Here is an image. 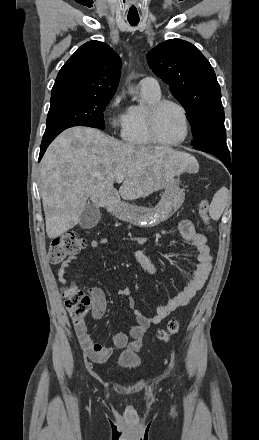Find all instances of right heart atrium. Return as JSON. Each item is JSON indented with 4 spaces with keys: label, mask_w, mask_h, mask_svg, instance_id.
<instances>
[{
    "label": "right heart atrium",
    "mask_w": 259,
    "mask_h": 440,
    "mask_svg": "<svg viewBox=\"0 0 259 440\" xmlns=\"http://www.w3.org/2000/svg\"><path fill=\"white\" fill-rule=\"evenodd\" d=\"M123 101V94H117L110 102L109 108L112 114L109 117L110 126L116 130H123L126 123V113L118 112V109Z\"/></svg>",
    "instance_id": "right-heart-atrium-1"
}]
</instances>
